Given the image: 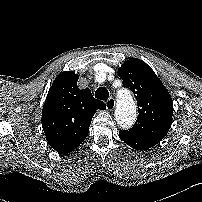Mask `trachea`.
<instances>
[{
  "instance_id": "3493384b",
  "label": "trachea",
  "mask_w": 202,
  "mask_h": 202,
  "mask_svg": "<svg viewBox=\"0 0 202 202\" xmlns=\"http://www.w3.org/2000/svg\"><path fill=\"white\" fill-rule=\"evenodd\" d=\"M95 97L100 100H107L109 97V92L105 87H99L95 91Z\"/></svg>"
}]
</instances>
